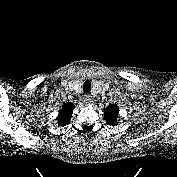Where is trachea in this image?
I'll list each match as a JSON object with an SVG mask.
<instances>
[{
    "label": "trachea",
    "mask_w": 177,
    "mask_h": 177,
    "mask_svg": "<svg viewBox=\"0 0 177 177\" xmlns=\"http://www.w3.org/2000/svg\"><path fill=\"white\" fill-rule=\"evenodd\" d=\"M90 91H91V82L87 80L83 84V92L89 93Z\"/></svg>",
    "instance_id": "trachea-1"
}]
</instances>
